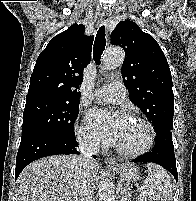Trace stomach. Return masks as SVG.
Wrapping results in <instances>:
<instances>
[{"label": "stomach", "mask_w": 196, "mask_h": 201, "mask_svg": "<svg viewBox=\"0 0 196 201\" xmlns=\"http://www.w3.org/2000/svg\"><path fill=\"white\" fill-rule=\"evenodd\" d=\"M119 175L121 182L130 183L135 182L140 178L138 169L132 165H120L113 168Z\"/></svg>", "instance_id": "0dacf381"}]
</instances>
